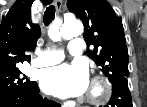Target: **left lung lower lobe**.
Returning a JSON list of instances; mask_svg holds the SVG:
<instances>
[{
	"label": "left lung lower lobe",
	"instance_id": "1",
	"mask_svg": "<svg viewBox=\"0 0 147 107\" xmlns=\"http://www.w3.org/2000/svg\"><path fill=\"white\" fill-rule=\"evenodd\" d=\"M104 107H133L127 78H120L112 83V96Z\"/></svg>",
	"mask_w": 147,
	"mask_h": 107
}]
</instances>
